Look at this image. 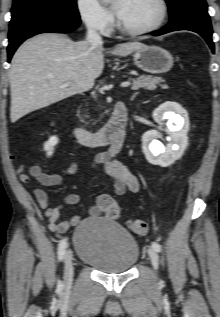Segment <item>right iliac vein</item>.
Segmentation results:
<instances>
[{
	"instance_id": "right-iliac-vein-1",
	"label": "right iliac vein",
	"mask_w": 220,
	"mask_h": 317,
	"mask_svg": "<svg viewBox=\"0 0 220 317\" xmlns=\"http://www.w3.org/2000/svg\"><path fill=\"white\" fill-rule=\"evenodd\" d=\"M74 276L72 253L67 251L64 256V288H70Z\"/></svg>"
}]
</instances>
